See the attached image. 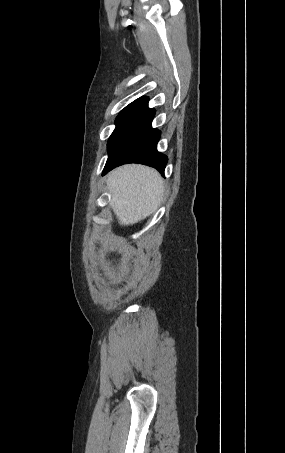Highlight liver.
Segmentation results:
<instances>
[{"instance_id":"liver-1","label":"liver","mask_w":285,"mask_h":453,"mask_svg":"<svg viewBox=\"0 0 285 453\" xmlns=\"http://www.w3.org/2000/svg\"><path fill=\"white\" fill-rule=\"evenodd\" d=\"M111 193L110 207L120 225H133L151 215L163 194L159 173L143 165H124L113 170L107 178Z\"/></svg>"}]
</instances>
